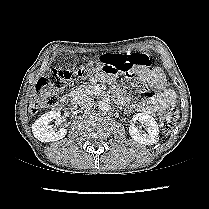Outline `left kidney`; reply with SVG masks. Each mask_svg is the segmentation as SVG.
Here are the masks:
<instances>
[{
	"instance_id": "1",
	"label": "left kidney",
	"mask_w": 209,
	"mask_h": 209,
	"mask_svg": "<svg viewBox=\"0 0 209 209\" xmlns=\"http://www.w3.org/2000/svg\"><path fill=\"white\" fill-rule=\"evenodd\" d=\"M136 121H140L144 123L148 134L140 132L135 127L134 123ZM129 133L133 140L144 145H152L158 142L159 139L158 138L159 128L157 122L153 117L145 113H138L133 116L132 124L130 125L129 128Z\"/></svg>"
}]
</instances>
